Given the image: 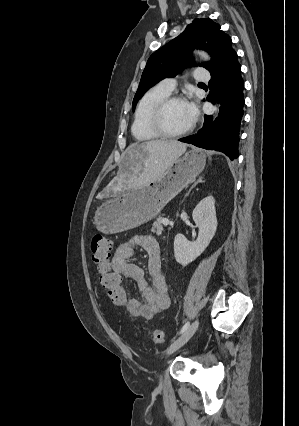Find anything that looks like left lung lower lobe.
Instances as JSON below:
<instances>
[{
  "mask_svg": "<svg viewBox=\"0 0 299 426\" xmlns=\"http://www.w3.org/2000/svg\"><path fill=\"white\" fill-rule=\"evenodd\" d=\"M210 74L207 101H220L218 121L211 123L212 117L205 115L202 129L179 141L220 151L234 160L239 156V131L244 105V82L236 52L232 50L225 53L210 70Z\"/></svg>",
  "mask_w": 299,
  "mask_h": 426,
  "instance_id": "obj_1",
  "label": "left lung lower lobe"
}]
</instances>
